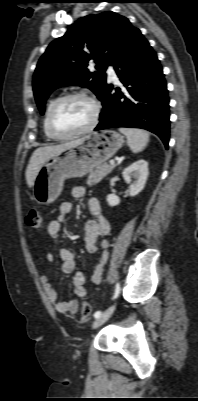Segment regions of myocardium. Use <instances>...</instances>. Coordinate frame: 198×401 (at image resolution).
Listing matches in <instances>:
<instances>
[{
  "label": "myocardium",
  "mask_w": 198,
  "mask_h": 401,
  "mask_svg": "<svg viewBox=\"0 0 198 401\" xmlns=\"http://www.w3.org/2000/svg\"><path fill=\"white\" fill-rule=\"evenodd\" d=\"M76 98L84 99L92 105L93 118H92L90 124L86 128H84L78 132L68 134V135L58 134L53 128V124H52L53 114L60 104H62L63 102H65L69 99H76ZM100 114H101L100 103L93 96H91L85 92H73V93L65 94V95L57 98L52 103L51 107L49 108L47 116H46V128H47L49 135L53 139L60 140V141L74 139V138L83 136V135L91 132L97 126V124L99 122Z\"/></svg>",
  "instance_id": "obj_1"
}]
</instances>
